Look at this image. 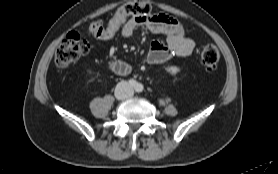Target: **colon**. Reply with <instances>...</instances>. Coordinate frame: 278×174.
I'll return each instance as SVG.
<instances>
[{
	"mask_svg": "<svg viewBox=\"0 0 278 174\" xmlns=\"http://www.w3.org/2000/svg\"><path fill=\"white\" fill-rule=\"evenodd\" d=\"M150 5L143 0H130L119 7L113 17L107 22L97 20L89 25L90 32L100 39H110L114 37L122 23L131 16L146 15L150 13ZM172 28L180 33H185V28L180 21L170 19ZM91 48L89 40L84 39L77 32H70L61 42L56 50L55 64L59 69H65L80 57L86 55ZM220 59V52L213 44L204 46L201 52V63L207 71H212L217 67Z\"/></svg>",
	"mask_w": 278,
	"mask_h": 174,
	"instance_id": "obj_1",
	"label": "colon"
}]
</instances>
